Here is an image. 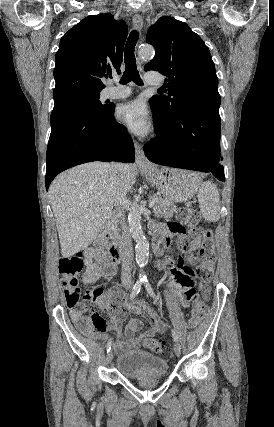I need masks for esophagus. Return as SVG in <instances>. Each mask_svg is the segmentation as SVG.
Returning a JSON list of instances; mask_svg holds the SVG:
<instances>
[{"instance_id":"obj_1","label":"esophagus","mask_w":274,"mask_h":427,"mask_svg":"<svg viewBox=\"0 0 274 427\" xmlns=\"http://www.w3.org/2000/svg\"><path fill=\"white\" fill-rule=\"evenodd\" d=\"M132 23L135 29L142 30L143 28V18L141 15L136 14L133 16ZM134 147H135V163L138 165V167H148L150 165L149 160L145 157V154L143 152L142 145L134 141Z\"/></svg>"}]
</instances>
